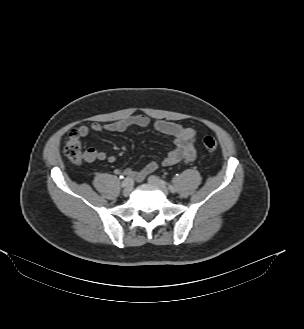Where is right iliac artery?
Returning a JSON list of instances; mask_svg holds the SVG:
<instances>
[{"instance_id":"1","label":"right iliac artery","mask_w":304,"mask_h":329,"mask_svg":"<svg viewBox=\"0 0 304 329\" xmlns=\"http://www.w3.org/2000/svg\"><path fill=\"white\" fill-rule=\"evenodd\" d=\"M131 181L132 179L130 177L125 178L122 182V187H126Z\"/></svg>"}]
</instances>
